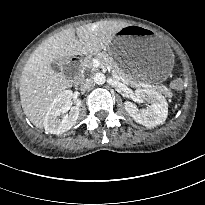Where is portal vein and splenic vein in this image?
<instances>
[{"instance_id":"obj_1","label":"portal vein and splenic vein","mask_w":205,"mask_h":205,"mask_svg":"<svg viewBox=\"0 0 205 205\" xmlns=\"http://www.w3.org/2000/svg\"><path fill=\"white\" fill-rule=\"evenodd\" d=\"M93 65H94L95 67H98V66L100 65V61L97 60V59L93 60Z\"/></svg>"}]
</instances>
